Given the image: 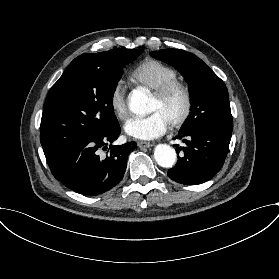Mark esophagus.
<instances>
[{"label":"esophagus","instance_id":"1","mask_svg":"<svg viewBox=\"0 0 279 279\" xmlns=\"http://www.w3.org/2000/svg\"><path fill=\"white\" fill-rule=\"evenodd\" d=\"M137 146H139L140 148H149L152 146V144H150L149 142H146V141H139L137 143Z\"/></svg>","mask_w":279,"mask_h":279}]
</instances>
